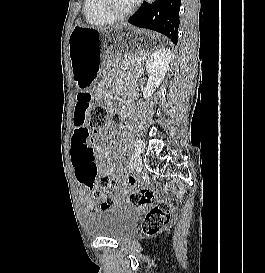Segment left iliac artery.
I'll use <instances>...</instances> for the list:
<instances>
[{
  "instance_id": "left-iliac-artery-1",
  "label": "left iliac artery",
  "mask_w": 265,
  "mask_h": 273,
  "mask_svg": "<svg viewBox=\"0 0 265 273\" xmlns=\"http://www.w3.org/2000/svg\"><path fill=\"white\" fill-rule=\"evenodd\" d=\"M141 151L139 141L136 140L135 142V156Z\"/></svg>"
}]
</instances>
